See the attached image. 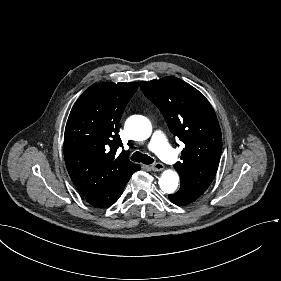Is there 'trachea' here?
<instances>
[{
  "instance_id": "1",
  "label": "trachea",
  "mask_w": 281,
  "mask_h": 281,
  "mask_svg": "<svg viewBox=\"0 0 281 281\" xmlns=\"http://www.w3.org/2000/svg\"><path fill=\"white\" fill-rule=\"evenodd\" d=\"M130 159L137 163H143V164H152L154 162L153 158H151L148 155L142 154L141 152H135L130 156Z\"/></svg>"
}]
</instances>
